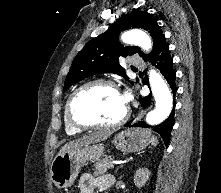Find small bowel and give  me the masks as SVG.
Wrapping results in <instances>:
<instances>
[{
    "label": "small bowel",
    "instance_id": "small-bowel-1",
    "mask_svg": "<svg viewBox=\"0 0 221 193\" xmlns=\"http://www.w3.org/2000/svg\"><path fill=\"white\" fill-rule=\"evenodd\" d=\"M112 185L113 179L110 176L96 177L90 173H84L80 177V193H95L97 190L107 193Z\"/></svg>",
    "mask_w": 221,
    "mask_h": 193
}]
</instances>
